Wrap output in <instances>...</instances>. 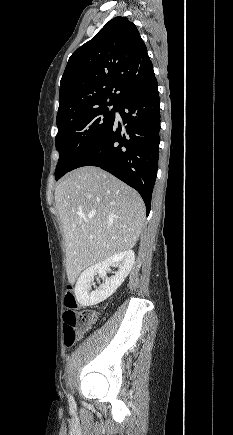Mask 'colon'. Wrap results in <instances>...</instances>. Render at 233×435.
Returning <instances> with one entry per match:
<instances>
[{
	"mask_svg": "<svg viewBox=\"0 0 233 435\" xmlns=\"http://www.w3.org/2000/svg\"><path fill=\"white\" fill-rule=\"evenodd\" d=\"M65 304L68 311L64 316L65 323V345L72 347L88 330L96 317L93 310L76 309L75 285L69 284L66 287Z\"/></svg>",
	"mask_w": 233,
	"mask_h": 435,
	"instance_id": "1",
	"label": "colon"
}]
</instances>
